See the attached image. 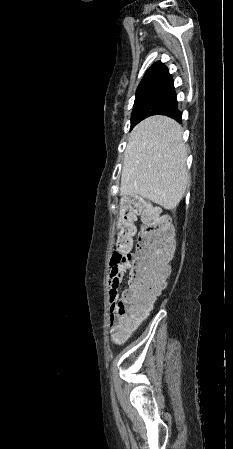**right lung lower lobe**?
Here are the masks:
<instances>
[{
	"label": "right lung lower lobe",
	"instance_id": "obj_1",
	"mask_svg": "<svg viewBox=\"0 0 233 449\" xmlns=\"http://www.w3.org/2000/svg\"><path fill=\"white\" fill-rule=\"evenodd\" d=\"M159 115H166L169 116L173 119H175L176 121L181 123V117H182V113L178 110V106L177 104L173 105L172 107H169L159 113H157Z\"/></svg>",
	"mask_w": 233,
	"mask_h": 449
}]
</instances>
